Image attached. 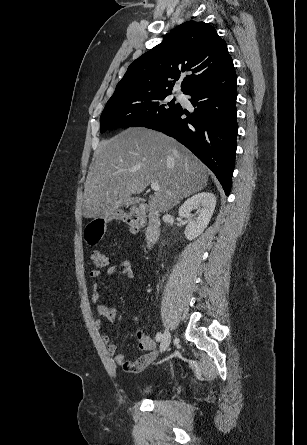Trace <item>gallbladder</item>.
Returning <instances> with one entry per match:
<instances>
[{"mask_svg":"<svg viewBox=\"0 0 307 445\" xmlns=\"http://www.w3.org/2000/svg\"><path fill=\"white\" fill-rule=\"evenodd\" d=\"M142 203V200L138 198V196H130V198H127V202H124V205L130 206L131 204H137L140 205ZM122 209H125V206H122Z\"/></svg>","mask_w":307,"mask_h":445,"instance_id":"obj_1","label":"gallbladder"}]
</instances>
